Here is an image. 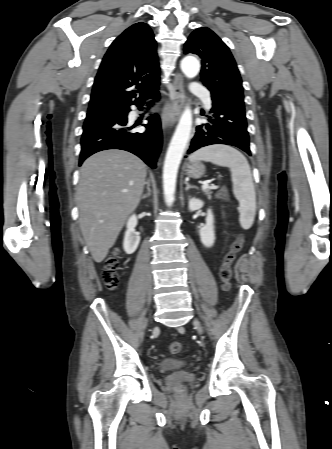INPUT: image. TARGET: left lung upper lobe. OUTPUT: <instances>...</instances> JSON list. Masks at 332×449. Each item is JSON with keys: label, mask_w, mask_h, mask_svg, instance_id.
Wrapping results in <instances>:
<instances>
[{"label": "left lung upper lobe", "mask_w": 332, "mask_h": 449, "mask_svg": "<svg viewBox=\"0 0 332 449\" xmlns=\"http://www.w3.org/2000/svg\"><path fill=\"white\" fill-rule=\"evenodd\" d=\"M184 52L201 58V81L211 91L212 101L244 110L242 80L235 60L225 43L209 28L191 33Z\"/></svg>", "instance_id": "left-lung-upper-lobe-1"}]
</instances>
